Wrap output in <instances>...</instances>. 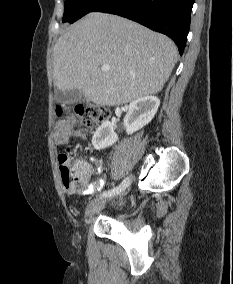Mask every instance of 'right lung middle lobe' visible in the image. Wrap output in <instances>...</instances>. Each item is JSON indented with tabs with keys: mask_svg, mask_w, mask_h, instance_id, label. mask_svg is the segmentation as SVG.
Here are the masks:
<instances>
[{
	"mask_svg": "<svg viewBox=\"0 0 233 284\" xmlns=\"http://www.w3.org/2000/svg\"><path fill=\"white\" fill-rule=\"evenodd\" d=\"M108 0H65L63 22L73 23Z\"/></svg>",
	"mask_w": 233,
	"mask_h": 284,
	"instance_id": "dd1d6c3e",
	"label": "right lung middle lobe"
}]
</instances>
